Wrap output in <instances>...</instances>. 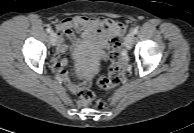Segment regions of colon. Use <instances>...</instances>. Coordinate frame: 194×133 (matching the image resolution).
<instances>
[{
	"label": "colon",
	"mask_w": 194,
	"mask_h": 133,
	"mask_svg": "<svg viewBox=\"0 0 194 133\" xmlns=\"http://www.w3.org/2000/svg\"><path fill=\"white\" fill-rule=\"evenodd\" d=\"M111 44L112 50L108 56L111 63L108 76H101L97 80L98 86L105 90L117 86L123 76V54L121 52V37H114L111 41ZM78 104L80 106H89L91 104H94L97 108H103L105 105V101L101 99L94 101L93 92L88 88H84L79 93Z\"/></svg>",
	"instance_id": "obj_1"
}]
</instances>
